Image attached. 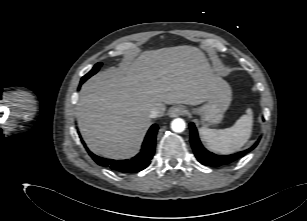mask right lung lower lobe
<instances>
[{"label": "right lung lower lobe", "instance_id": "1", "mask_svg": "<svg viewBox=\"0 0 307 221\" xmlns=\"http://www.w3.org/2000/svg\"><path fill=\"white\" fill-rule=\"evenodd\" d=\"M83 82L85 81L82 78L81 83ZM157 131H158V126L156 124L152 125L145 137L140 153L130 160L105 159L96 156L88 149L87 151L89 155L93 158V160L101 166L108 167L116 172H122V173L139 172L145 169L151 162L150 160L152 159L155 151V141H156Z\"/></svg>", "mask_w": 307, "mask_h": 221}]
</instances>
